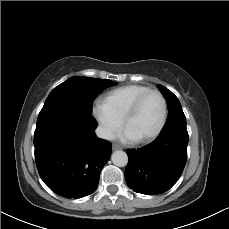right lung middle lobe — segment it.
Here are the masks:
<instances>
[{
    "mask_svg": "<svg viewBox=\"0 0 229 229\" xmlns=\"http://www.w3.org/2000/svg\"><path fill=\"white\" fill-rule=\"evenodd\" d=\"M111 80L74 76L54 88L40 113L57 109H74L92 113L94 99L104 89L115 86Z\"/></svg>",
    "mask_w": 229,
    "mask_h": 229,
    "instance_id": "1",
    "label": "right lung middle lobe"
}]
</instances>
